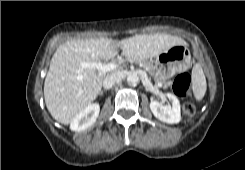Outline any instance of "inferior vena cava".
I'll return each mask as SVG.
<instances>
[{
	"label": "inferior vena cava",
	"instance_id": "inferior-vena-cava-1",
	"mask_svg": "<svg viewBox=\"0 0 245 170\" xmlns=\"http://www.w3.org/2000/svg\"><path fill=\"white\" fill-rule=\"evenodd\" d=\"M124 77V74L122 72H115L112 73L108 76L105 77L104 81H103V87L105 89H110L112 88L117 82H119L120 80H122Z\"/></svg>",
	"mask_w": 245,
	"mask_h": 170
}]
</instances>
